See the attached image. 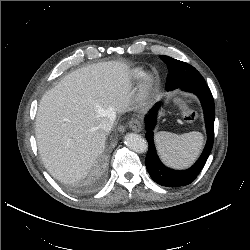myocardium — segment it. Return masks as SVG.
I'll list each match as a JSON object with an SVG mask.
<instances>
[{
    "label": "myocardium",
    "mask_w": 250,
    "mask_h": 250,
    "mask_svg": "<svg viewBox=\"0 0 250 250\" xmlns=\"http://www.w3.org/2000/svg\"><path fill=\"white\" fill-rule=\"evenodd\" d=\"M154 84L153 77L149 74L145 75L142 81V91L148 92L152 89Z\"/></svg>",
    "instance_id": "f54148a6"
}]
</instances>
